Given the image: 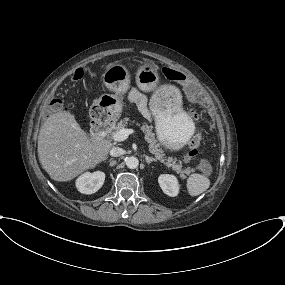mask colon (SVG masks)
<instances>
[{
  "instance_id": "colon-1",
  "label": "colon",
  "mask_w": 285,
  "mask_h": 285,
  "mask_svg": "<svg viewBox=\"0 0 285 285\" xmlns=\"http://www.w3.org/2000/svg\"><path fill=\"white\" fill-rule=\"evenodd\" d=\"M162 73L168 80L181 84L190 99L201 102L204 101L205 97L203 92L187 75L168 67L163 68ZM84 76L85 70L83 68H78L71 74L70 78L73 81H78L81 80ZM61 108L62 104L58 99H53L48 105V110L50 112H56ZM192 118L195 121H198L200 119V115L196 112H193ZM200 143L201 137L197 134L190 140L188 145V152L186 153L184 160L186 162L198 161V170L204 171L206 169V162L204 160H198V149Z\"/></svg>"
}]
</instances>
